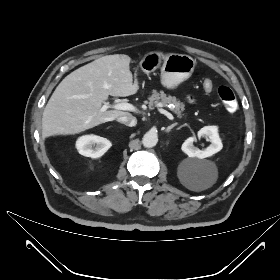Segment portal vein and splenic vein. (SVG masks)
Masks as SVG:
<instances>
[{
    "mask_svg": "<svg viewBox=\"0 0 280 280\" xmlns=\"http://www.w3.org/2000/svg\"><path fill=\"white\" fill-rule=\"evenodd\" d=\"M109 108H114V109H117V110H126V111L138 112V110L135 106H133L130 103H126V102H121V103H117V104H114V105H109V104L105 103L104 105L101 106V111L104 112ZM159 111H160V113L164 114L170 120H174V116L170 112H168L164 109H159Z\"/></svg>",
    "mask_w": 280,
    "mask_h": 280,
    "instance_id": "obj_1",
    "label": "portal vein and splenic vein"
}]
</instances>
